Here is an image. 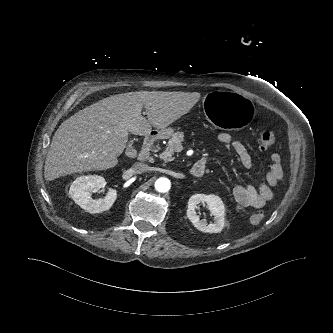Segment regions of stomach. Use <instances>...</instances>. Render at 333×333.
<instances>
[{
	"label": "stomach",
	"mask_w": 333,
	"mask_h": 333,
	"mask_svg": "<svg viewBox=\"0 0 333 333\" xmlns=\"http://www.w3.org/2000/svg\"><path fill=\"white\" fill-rule=\"evenodd\" d=\"M204 116L210 126L228 133H239L249 127L253 119V108L247 98L230 91H218L208 97L204 105ZM174 129H160L168 137Z\"/></svg>",
	"instance_id": "0dacf381"
}]
</instances>
